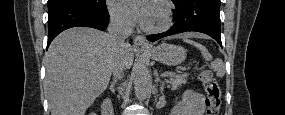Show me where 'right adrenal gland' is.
I'll use <instances>...</instances> for the list:
<instances>
[{
    "label": "right adrenal gland",
    "mask_w": 285,
    "mask_h": 115,
    "mask_svg": "<svg viewBox=\"0 0 285 115\" xmlns=\"http://www.w3.org/2000/svg\"><path fill=\"white\" fill-rule=\"evenodd\" d=\"M115 82H116V79H113V81L111 82V86H113Z\"/></svg>",
    "instance_id": "1"
}]
</instances>
